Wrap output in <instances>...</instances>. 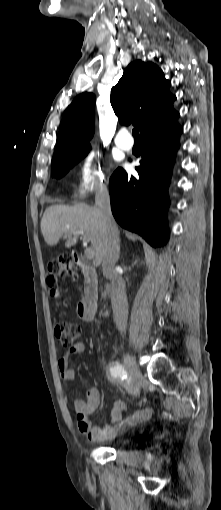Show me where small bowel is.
<instances>
[{"mask_svg":"<svg viewBox=\"0 0 221 510\" xmlns=\"http://www.w3.org/2000/svg\"><path fill=\"white\" fill-rule=\"evenodd\" d=\"M85 349L86 346L83 342H77L58 360V371L63 382H73L74 370L71 366L73 357L76 354L83 353ZM100 405L101 393L96 387L87 389L85 400H75L73 402V407L77 414L78 426L81 428V431L93 441L111 440L119 433L144 422L153 414L152 408L140 407L126 418H123L122 411L125 410L127 406L122 400H115L110 411L109 422L96 425L92 422L90 416L98 411Z\"/></svg>","mask_w":221,"mask_h":510,"instance_id":"obj_1","label":"small bowel"}]
</instances>
